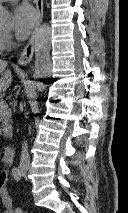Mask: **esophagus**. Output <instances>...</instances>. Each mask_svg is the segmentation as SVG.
I'll return each instance as SVG.
<instances>
[{
    "label": "esophagus",
    "mask_w": 128,
    "mask_h": 213,
    "mask_svg": "<svg viewBox=\"0 0 128 213\" xmlns=\"http://www.w3.org/2000/svg\"><path fill=\"white\" fill-rule=\"evenodd\" d=\"M36 1V8H37V13H38V20L35 26V30L38 28V26L41 24L43 20V15H44V0H35ZM34 30V32H35ZM34 32L29 39L27 45L24 47L23 51L20 54V57L18 59V65L20 66H26L28 65L34 54Z\"/></svg>",
    "instance_id": "1"
}]
</instances>
